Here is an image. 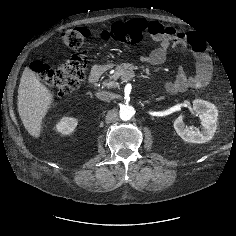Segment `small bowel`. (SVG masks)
I'll return each instance as SVG.
<instances>
[{"instance_id":"c3829d8e","label":"small bowel","mask_w":236,"mask_h":236,"mask_svg":"<svg viewBox=\"0 0 236 236\" xmlns=\"http://www.w3.org/2000/svg\"><path fill=\"white\" fill-rule=\"evenodd\" d=\"M147 31L159 46L150 53L141 55V61L145 63L152 65L162 64L170 47L185 48L191 46L194 51L197 61L196 73L188 76L181 69L176 80L166 85L168 91L181 92L188 88H201L209 83L213 66L211 58L204 48V41L200 37L187 34L174 26H164L157 21L149 22L147 24Z\"/></svg>"}]
</instances>
